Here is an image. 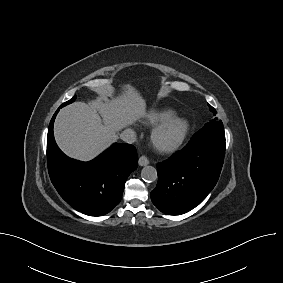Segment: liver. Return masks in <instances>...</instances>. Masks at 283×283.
I'll list each match as a JSON object with an SVG mask.
<instances>
[{
    "label": "liver",
    "instance_id": "1",
    "mask_svg": "<svg viewBox=\"0 0 283 283\" xmlns=\"http://www.w3.org/2000/svg\"><path fill=\"white\" fill-rule=\"evenodd\" d=\"M123 89L111 101L75 102L59 112L54 134L66 155L89 161L111 144L119 130L146 116V102L138 91L131 85Z\"/></svg>",
    "mask_w": 283,
    "mask_h": 283
}]
</instances>
